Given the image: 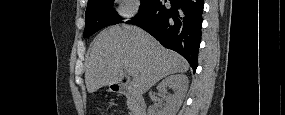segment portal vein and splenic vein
<instances>
[{
	"mask_svg": "<svg viewBox=\"0 0 285 115\" xmlns=\"http://www.w3.org/2000/svg\"><path fill=\"white\" fill-rule=\"evenodd\" d=\"M126 73H127L128 75H131V71H130L129 69H126Z\"/></svg>",
	"mask_w": 285,
	"mask_h": 115,
	"instance_id": "1",
	"label": "portal vein and splenic vein"
}]
</instances>
